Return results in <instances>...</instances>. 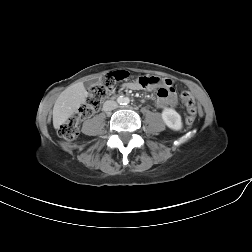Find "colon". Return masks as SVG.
Instances as JSON below:
<instances>
[{"mask_svg":"<svg viewBox=\"0 0 252 252\" xmlns=\"http://www.w3.org/2000/svg\"><path fill=\"white\" fill-rule=\"evenodd\" d=\"M128 78L129 73L124 70H118L104 75L91 87L85 102L59 127V135L65 140H74L78 136L80 122L96 112L99 109L101 102L111 93L116 91L117 84L126 81ZM138 82L144 88H149L152 85V81L145 76L139 77ZM181 99L188 112L186 121L188 124H191L194 122L196 116L194 97L190 92L184 91L181 94Z\"/></svg>","mask_w":252,"mask_h":252,"instance_id":"1","label":"colon"}]
</instances>
